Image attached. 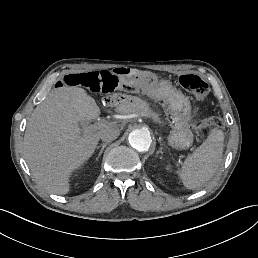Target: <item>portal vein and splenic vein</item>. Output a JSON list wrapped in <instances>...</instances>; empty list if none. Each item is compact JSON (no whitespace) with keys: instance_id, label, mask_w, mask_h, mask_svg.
<instances>
[{"instance_id":"1","label":"portal vein and splenic vein","mask_w":258,"mask_h":258,"mask_svg":"<svg viewBox=\"0 0 258 258\" xmlns=\"http://www.w3.org/2000/svg\"><path fill=\"white\" fill-rule=\"evenodd\" d=\"M91 131H95L98 129V126H89L88 127Z\"/></svg>"}]
</instances>
